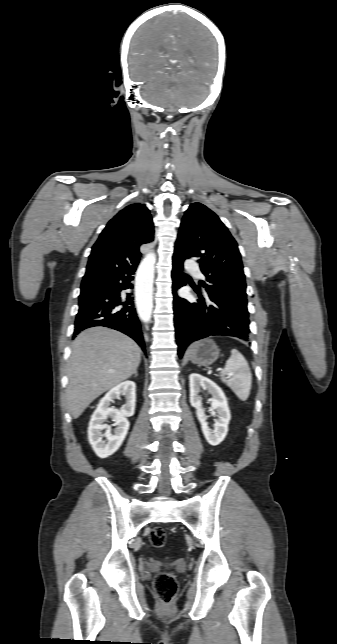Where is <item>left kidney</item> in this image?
Masks as SVG:
<instances>
[{"mask_svg":"<svg viewBox=\"0 0 337 644\" xmlns=\"http://www.w3.org/2000/svg\"><path fill=\"white\" fill-rule=\"evenodd\" d=\"M189 383L190 404L196 409V415L201 424V429L205 439L210 445L216 446L226 437L229 421L231 419L227 398L222 389L216 383L200 374H190ZM200 388L207 390L212 395V398L209 399V401L211 402L212 410L217 414L214 431L208 427V423L206 421L207 417L202 407V398L199 395Z\"/></svg>","mask_w":337,"mask_h":644,"instance_id":"obj_1","label":"left kidney"}]
</instances>
